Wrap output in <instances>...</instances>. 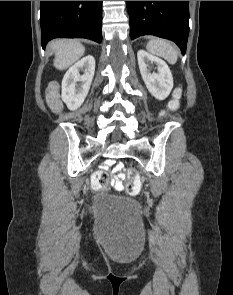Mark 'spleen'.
Listing matches in <instances>:
<instances>
[{
	"label": "spleen",
	"mask_w": 233,
	"mask_h": 295,
	"mask_svg": "<svg viewBox=\"0 0 233 295\" xmlns=\"http://www.w3.org/2000/svg\"><path fill=\"white\" fill-rule=\"evenodd\" d=\"M146 48L149 52L163 57L171 64L177 61V49L173 44L164 39H152L148 42Z\"/></svg>",
	"instance_id": "3e777b00"
}]
</instances>
